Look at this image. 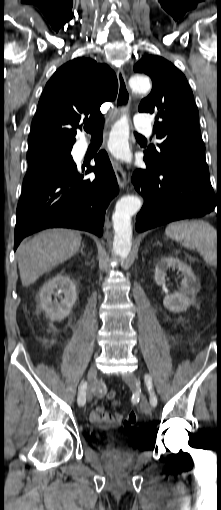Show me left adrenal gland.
<instances>
[{"label": "left adrenal gland", "instance_id": "obj_1", "mask_svg": "<svg viewBox=\"0 0 221 510\" xmlns=\"http://www.w3.org/2000/svg\"><path fill=\"white\" fill-rule=\"evenodd\" d=\"M156 245H160V243H159V242H157V243H156Z\"/></svg>", "mask_w": 221, "mask_h": 510}]
</instances>
